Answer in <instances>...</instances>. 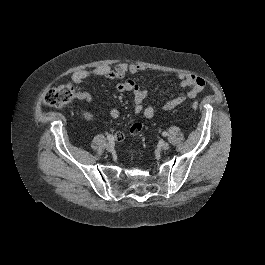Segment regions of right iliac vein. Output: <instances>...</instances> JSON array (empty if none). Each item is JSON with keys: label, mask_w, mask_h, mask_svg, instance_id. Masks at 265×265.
I'll return each mask as SVG.
<instances>
[{"label": "right iliac vein", "mask_w": 265, "mask_h": 265, "mask_svg": "<svg viewBox=\"0 0 265 265\" xmlns=\"http://www.w3.org/2000/svg\"><path fill=\"white\" fill-rule=\"evenodd\" d=\"M106 150H107L108 152H112V151L114 150V145H113L112 143H108V144L106 145Z\"/></svg>", "instance_id": "63e3f726"}]
</instances>
